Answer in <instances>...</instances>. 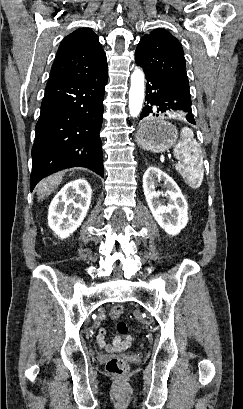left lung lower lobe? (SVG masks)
<instances>
[{"label":"left lung lower lobe","instance_id":"obj_1","mask_svg":"<svg viewBox=\"0 0 243 409\" xmlns=\"http://www.w3.org/2000/svg\"><path fill=\"white\" fill-rule=\"evenodd\" d=\"M146 105L140 119L146 116H159L162 113L178 112L188 122L196 124L191 111V96L189 88L176 84L164 77L145 73Z\"/></svg>","mask_w":243,"mask_h":409}]
</instances>
